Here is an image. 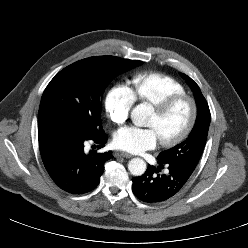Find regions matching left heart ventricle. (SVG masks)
I'll return each mask as SVG.
<instances>
[{
  "label": "left heart ventricle",
  "instance_id": "left-heart-ventricle-1",
  "mask_svg": "<svg viewBox=\"0 0 248 248\" xmlns=\"http://www.w3.org/2000/svg\"><path fill=\"white\" fill-rule=\"evenodd\" d=\"M190 112L189 102L181 101L163 116H157L152 111L147 126L156 131L159 141L168 140L183 131L189 121Z\"/></svg>",
  "mask_w": 248,
  "mask_h": 248
}]
</instances>
